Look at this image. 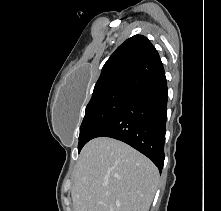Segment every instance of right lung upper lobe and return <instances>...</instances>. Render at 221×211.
<instances>
[{"instance_id":"1","label":"right lung upper lobe","mask_w":221,"mask_h":211,"mask_svg":"<svg viewBox=\"0 0 221 211\" xmlns=\"http://www.w3.org/2000/svg\"><path fill=\"white\" fill-rule=\"evenodd\" d=\"M163 76L164 68L157 50L146 37L135 35L106 61L92 97L117 88L135 89Z\"/></svg>"}]
</instances>
